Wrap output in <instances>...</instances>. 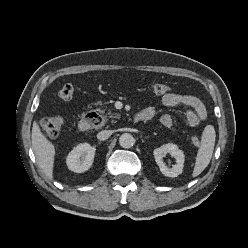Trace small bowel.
Returning a JSON list of instances; mask_svg holds the SVG:
<instances>
[{
  "label": "small bowel",
  "mask_w": 248,
  "mask_h": 248,
  "mask_svg": "<svg viewBox=\"0 0 248 248\" xmlns=\"http://www.w3.org/2000/svg\"><path fill=\"white\" fill-rule=\"evenodd\" d=\"M161 101L166 107H175L178 105L187 107L186 119L191 127L200 125L207 118V110L205 105L199 98L193 95L168 93L162 97ZM141 113L145 115L147 120H150L155 116L156 110L153 107H148ZM160 121L163 126L168 128L173 125V118L170 114H163Z\"/></svg>",
  "instance_id": "small-bowel-1"
}]
</instances>
